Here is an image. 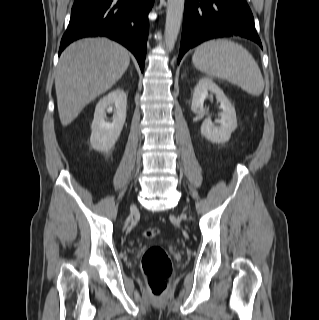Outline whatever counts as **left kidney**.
I'll list each match as a JSON object with an SVG mask.
<instances>
[{
	"mask_svg": "<svg viewBox=\"0 0 319 320\" xmlns=\"http://www.w3.org/2000/svg\"><path fill=\"white\" fill-rule=\"evenodd\" d=\"M214 94L217 101L220 102V119L216 123L220 126H215L211 118H206L201 125L202 135L213 143H225L230 137L231 133L237 128V119L235 108L225 96L223 91L209 78H201L193 93L191 110L196 115H204L205 109L203 106L204 100L208 97V92Z\"/></svg>",
	"mask_w": 319,
	"mask_h": 320,
	"instance_id": "left-kidney-1",
	"label": "left kidney"
}]
</instances>
